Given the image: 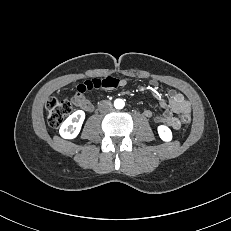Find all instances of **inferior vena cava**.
Listing matches in <instances>:
<instances>
[{"instance_id":"602c4592","label":"inferior vena cava","mask_w":231,"mask_h":231,"mask_svg":"<svg viewBox=\"0 0 231 231\" xmlns=\"http://www.w3.org/2000/svg\"><path fill=\"white\" fill-rule=\"evenodd\" d=\"M112 108H113L112 103L108 100H102L98 105V109L102 113L109 112L112 110Z\"/></svg>"}]
</instances>
